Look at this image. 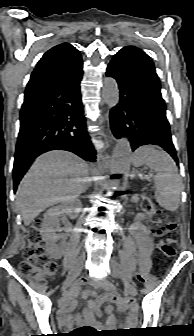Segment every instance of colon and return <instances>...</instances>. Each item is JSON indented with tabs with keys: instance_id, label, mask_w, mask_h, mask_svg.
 Here are the masks:
<instances>
[{
	"instance_id": "obj_1",
	"label": "colon",
	"mask_w": 194,
	"mask_h": 336,
	"mask_svg": "<svg viewBox=\"0 0 194 336\" xmlns=\"http://www.w3.org/2000/svg\"><path fill=\"white\" fill-rule=\"evenodd\" d=\"M39 223L28 233V245L24 257L19 264V270L23 276L40 284H45L47 279L58 272L56 262L48 260L44 244L39 232ZM176 223L172 213L164 209L156 211V221L152 233L157 240V250L154 253V261L158 262L163 258L173 257L176 254L175 232ZM151 277H146L144 283H150ZM131 299L119 301L121 307L131 303ZM88 330L86 328L82 331Z\"/></svg>"
}]
</instances>
